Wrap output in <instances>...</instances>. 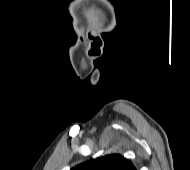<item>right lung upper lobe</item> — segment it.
<instances>
[{
  "label": "right lung upper lobe",
  "instance_id": "obj_1",
  "mask_svg": "<svg viewBox=\"0 0 190 170\" xmlns=\"http://www.w3.org/2000/svg\"><path fill=\"white\" fill-rule=\"evenodd\" d=\"M71 170H136V168L125 157L110 154L79 164Z\"/></svg>",
  "mask_w": 190,
  "mask_h": 170
}]
</instances>
